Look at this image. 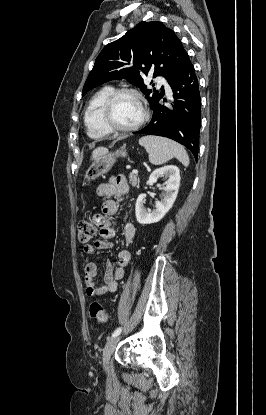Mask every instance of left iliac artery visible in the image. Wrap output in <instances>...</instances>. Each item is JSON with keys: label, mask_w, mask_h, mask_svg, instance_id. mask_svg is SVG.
<instances>
[{"label": "left iliac artery", "mask_w": 266, "mask_h": 415, "mask_svg": "<svg viewBox=\"0 0 266 415\" xmlns=\"http://www.w3.org/2000/svg\"><path fill=\"white\" fill-rule=\"evenodd\" d=\"M122 331L121 327H118L113 333H112V337L114 336H118Z\"/></svg>", "instance_id": "44dca946"}]
</instances>
